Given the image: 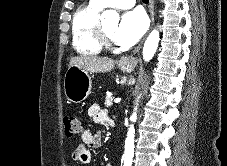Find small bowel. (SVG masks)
Listing matches in <instances>:
<instances>
[{"label":"small bowel","mask_w":227,"mask_h":166,"mask_svg":"<svg viewBox=\"0 0 227 166\" xmlns=\"http://www.w3.org/2000/svg\"><path fill=\"white\" fill-rule=\"evenodd\" d=\"M88 115L98 124L110 123L109 112L97 103L90 106ZM81 139L82 143L73 152V159L81 166H91L93 156L87 148H99L101 146L100 136L91 129H85L82 132Z\"/></svg>","instance_id":"obj_1"}]
</instances>
